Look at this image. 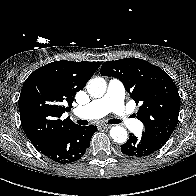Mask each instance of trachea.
Wrapping results in <instances>:
<instances>
[{
  "label": "trachea",
  "instance_id": "obj_1",
  "mask_svg": "<svg viewBox=\"0 0 196 196\" xmlns=\"http://www.w3.org/2000/svg\"><path fill=\"white\" fill-rule=\"evenodd\" d=\"M108 122L110 124H118V123H121V121L119 119H111ZM77 123L79 125H87L88 124V121H86V120H78Z\"/></svg>",
  "mask_w": 196,
  "mask_h": 196
}]
</instances>
